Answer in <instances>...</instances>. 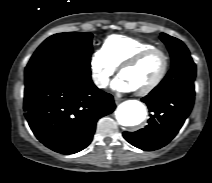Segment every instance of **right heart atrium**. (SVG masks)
<instances>
[{
  "label": "right heart atrium",
  "instance_id": "obj_1",
  "mask_svg": "<svg viewBox=\"0 0 212 183\" xmlns=\"http://www.w3.org/2000/svg\"><path fill=\"white\" fill-rule=\"evenodd\" d=\"M116 66L101 48L93 53L90 59V73L98 88H106L116 71Z\"/></svg>",
  "mask_w": 212,
  "mask_h": 183
}]
</instances>
